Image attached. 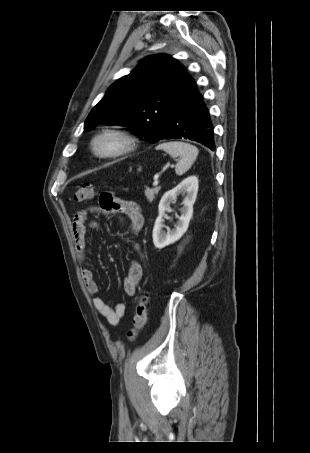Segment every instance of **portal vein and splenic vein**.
Instances as JSON below:
<instances>
[{"label":"portal vein and splenic vein","instance_id":"portal-vein-and-splenic-vein-1","mask_svg":"<svg viewBox=\"0 0 310 453\" xmlns=\"http://www.w3.org/2000/svg\"><path fill=\"white\" fill-rule=\"evenodd\" d=\"M158 177H159L158 175L155 176L153 186H158V184H159Z\"/></svg>","mask_w":310,"mask_h":453}]
</instances>
